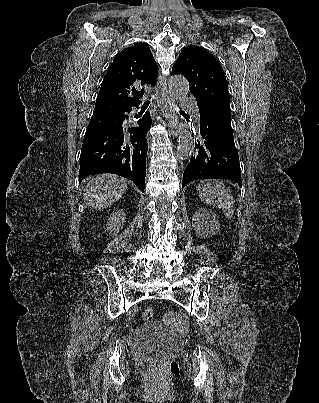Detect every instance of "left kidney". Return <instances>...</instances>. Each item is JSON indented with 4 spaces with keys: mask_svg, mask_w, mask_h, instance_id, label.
Segmentation results:
<instances>
[{
    "mask_svg": "<svg viewBox=\"0 0 319 403\" xmlns=\"http://www.w3.org/2000/svg\"><path fill=\"white\" fill-rule=\"evenodd\" d=\"M196 216L199 217L203 222L207 223L208 220L211 218L213 220V222H215L216 224V228L218 227V220L216 218V215L214 214V212H212L211 210L208 209H199L196 212Z\"/></svg>",
    "mask_w": 319,
    "mask_h": 403,
    "instance_id": "left-kidney-1",
    "label": "left kidney"
}]
</instances>
